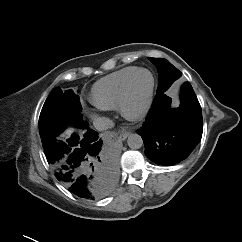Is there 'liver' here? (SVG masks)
I'll return each instance as SVG.
<instances>
[{
    "mask_svg": "<svg viewBox=\"0 0 242 242\" xmlns=\"http://www.w3.org/2000/svg\"><path fill=\"white\" fill-rule=\"evenodd\" d=\"M73 132V129H68L66 130V132L62 135V137L68 138L71 133Z\"/></svg>",
    "mask_w": 242,
    "mask_h": 242,
    "instance_id": "liver-1",
    "label": "liver"
}]
</instances>
